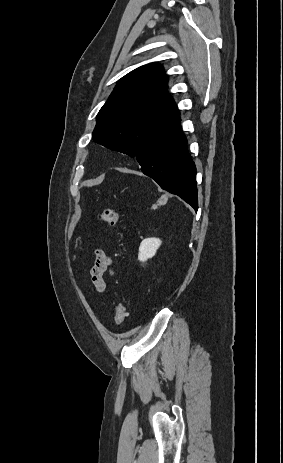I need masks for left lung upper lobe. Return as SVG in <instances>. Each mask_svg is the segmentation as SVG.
<instances>
[{"instance_id":"5c2ea615","label":"left lung upper lobe","mask_w":283,"mask_h":463,"mask_svg":"<svg viewBox=\"0 0 283 463\" xmlns=\"http://www.w3.org/2000/svg\"><path fill=\"white\" fill-rule=\"evenodd\" d=\"M168 78L159 64L141 66L122 77L97 114L92 138L131 157L179 116L167 94Z\"/></svg>"}]
</instances>
